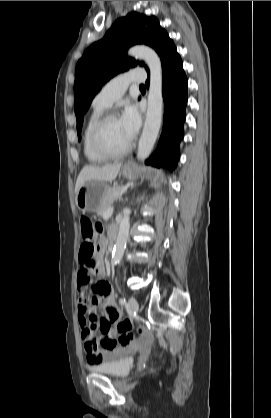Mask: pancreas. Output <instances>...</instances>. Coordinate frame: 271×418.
<instances>
[{
    "label": "pancreas",
    "instance_id": "pancreas-1",
    "mask_svg": "<svg viewBox=\"0 0 271 418\" xmlns=\"http://www.w3.org/2000/svg\"><path fill=\"white\" fill-rule=\"evenodd\" d=\"M125 190L124 186H115L106 191L102 203L97 211V214L101 217L104 216L106 211L111 207L112 203L116 201L121 193Z\"/></svg>",
    "mask_w": 271,
    "mask_h": 418
}]
</instances>
